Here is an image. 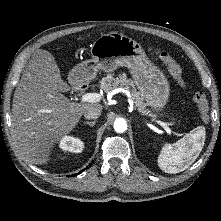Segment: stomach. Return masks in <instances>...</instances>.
Wrapping results in <instances>:
<instances>
[{"instance_id": "obj_1", "label": "stomach", "mask_w": 221, "mask_h": 221, "mask_svg": "<svg viewBox=\"0 0 221 221\" xmlns=\"http://www.w3.org/2000/svg\"><path fill=\"white\" fill-rule=\"evenodd\" d=\"M92 59L77 64L71 71L76 82L94 79L99 70L113 72L127 67L145 106L153 112L163 111L170 97L169 82L164 73L152 63L143 48L132 38L113 32L101 35L91 46Z\"/></svg>"}]
</instances>
